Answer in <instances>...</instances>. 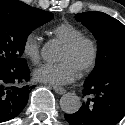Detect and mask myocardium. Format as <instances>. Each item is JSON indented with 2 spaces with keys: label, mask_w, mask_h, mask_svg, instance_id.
I'll list each match as a JSON object with an SVG mask.
<instances>
[{
  "label": "myocardium",
  "mask_w": 125,
  "mask_h": 125,
  "mask_svg": "<svg viewBox=\"0 0 125 125\" xmlns=\"http://www.w3.org/2000/svg\"><path fill=\"white\" fill-rule=\"evenodd\" d=\"M87 45L90 49V56L86 64L79 70L81 74L90 72L96 64L98 57V46L89 36L81 35L64 44V47L70 51L78 49L81 45Z\"/></svg>",
  "instance_id": "f54148a6"
}]
</instances>
